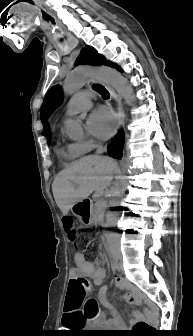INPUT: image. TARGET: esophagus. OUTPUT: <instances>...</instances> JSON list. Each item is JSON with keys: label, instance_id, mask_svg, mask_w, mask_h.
<instances>
[{"label": "esophagus", "instance_id": "esophagus-1", "mask_svg": "<svg viewBox=\"0 0 193 336\" xmlns=\"http://www.w3.org/2000/svg\"><path fill=\"white\" fill-rule=\"evenodd\" d=\"M96 82L103 85L110 94L111 104L114 108L115 118H116V132H118L119 130L123 128L124 119H125V114H124L121 98L116 93V91L107 83L101 80H98V79H96Z\"/></svg>", "mask_w": 193, "mask_h": 336}]
</instances>
